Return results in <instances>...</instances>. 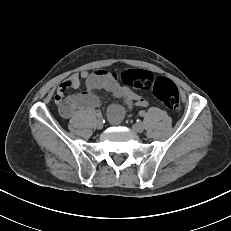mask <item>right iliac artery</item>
<instances>
[{
    "label": "right iliac artery",
    "instance_id": "right-iliac-artery-1",
    "mask_svg": "<svg viewBox=\"0 0 231 231\" xmlns=\"http://www.w3.org/2000/svg\"><path fill=\"white\" fill-rule=\"evenodd\" d=\"M96 116H97L98 118H102L101 112H98V113L96 114Z\"/></svg>",
    "mask_w": 231,
    "mask_h": 231
}]
</instances>
